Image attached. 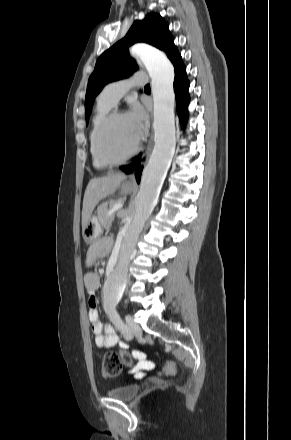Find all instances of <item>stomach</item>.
Listing matches in <instances>:
<instances>
[{
	"mask_svg": "<svg viewBox=\"0 0 291 440\" xmlns=\"http://www.w3.org/2000/svg\"><path fill=\"white\" fill-rule=\"evenodd\" d=\"M132 191H133V187L129 186L127 183H123L121 185V192L123 194H128L131 193ZM100 232H101V226L97 218L93 216L89 219L88 224L82 231L83 239L85 242H91L98 237Z\"/></svg>",
	"mask_w": 291,
	"mask_h": 440,
	"instance_id": "obj_1",
	"label": "stomach"
}]
</instances>
